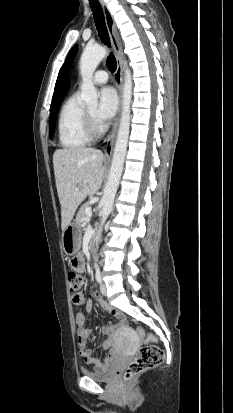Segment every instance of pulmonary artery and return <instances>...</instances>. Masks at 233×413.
Returning <instances> with one entry per match:
<instances>
[{"instance_id":"1","label":"pulmonary artery","mask_w":233,"mask_h":413,"mask_svg":"<svg viewBox=\"0 0 233 413\" xmlns=\"http://www.w3.org/2000/svg\"><path fill=\"white\" fill-rule=\"evenodd\" d=\"M108 81V73L104 70L95 72L93 76V82L95 84H104Z\"/></svg>"}]
</instances>
